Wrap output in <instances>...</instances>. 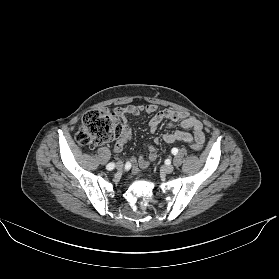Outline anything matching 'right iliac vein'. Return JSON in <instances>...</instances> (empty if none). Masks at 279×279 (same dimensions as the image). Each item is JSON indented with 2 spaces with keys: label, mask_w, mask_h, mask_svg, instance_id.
<instances>
[{
  "label": "right iliac vein",
  "mask_w": 279,
  "mask_h": 279,
  "mask_svg": "<svg viewBox=\"0 0 279 279\" xmlns=\"http://www.w3.org/2000/svg\"><path fill=\"white\" fill-rule=\"evenodd\" d=\"M123 163L122 162H118L117 164H116V169L117 170H122L123 169Z\"/></svg>",
  "instance_id": "obj_1"
}]
</instances>
